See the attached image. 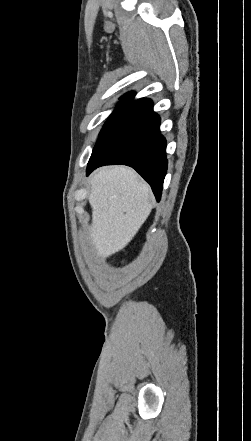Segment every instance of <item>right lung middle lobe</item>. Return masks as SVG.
<instances>
[{"instance_id": "1", "label": "right lung middle lobe", "mask_w": 251, "mask_h": 441, "mask_svg": "<svg viewBox=\"0 0 251 441\" xmlns=\"http://www.w3.org/2000/svg\"><path fill=\"white\" fill-rule=\"evenodd\" d=\"M130 104L131 103L128 102H122L115 108V110L113 111V113L111 114L105 125L103 126L98 140L102 137V135L106 132V130L114 123V121L127 109V107Z\"/></svg>"}]
</instances>
